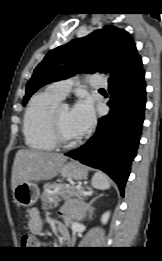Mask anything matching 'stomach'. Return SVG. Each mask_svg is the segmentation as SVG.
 <instances>
[{"mask_svg": "<svg viewBox=\"0 0 162 261\" xmlns=\"http://www.w3.org/2000/svg\"><path fill=\"white\" fill-rule=\"evenodd\" d=\"M87 170L78 162H68L60 168V174L65 178L83 180L87 178ZM40 195L39 188L32 182H24L15 187L13 198L21 206L29 207L35 204Z\"/></svg>", "mask_w": 162, "mask_h": 261, "instance_id": "obj_1", "label": "stomach"}]
</instances>
